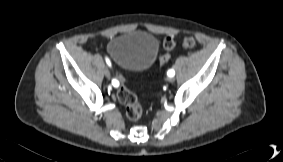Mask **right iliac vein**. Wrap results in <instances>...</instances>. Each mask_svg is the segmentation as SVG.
<instances>
[{"mask_svg":"<svg viewBox=\"0 0 283 162\" xmlns=\"http://www.w3.org/2000/svg\"><path fill=\"white\" fill-rule=\"evenodd\" d=\"M104 74L106 77H110V72L107 68L104 70Z\"/></svg>","mask_w":283,"mask_h":162,"instance_id":"63e3f726","label":"right iliac vein"}]
</instances>
